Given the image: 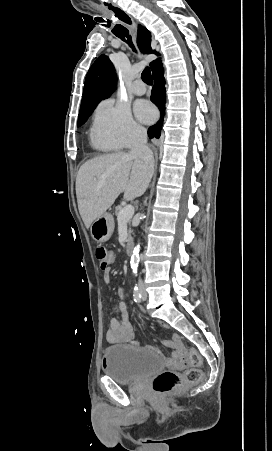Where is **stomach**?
Here are the masks:
<instances>
[{"label":"stomach","mask_w":272,"mask_h":451,"mask_svg":"<svg viewBox=\"0 0 272 451\" xmlns=\"http://www.w3.org/2000/svg\"><path fill=\"white\" fill-rule=\"evenodd\" d=\"M90 231L93 239L98 241V243H103L110 239L114 231V218L108 212H104L102 216L96 218L90 226Z\"/></svg>","instance_id":"stomach-1"}]
</instances>
